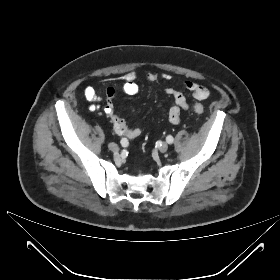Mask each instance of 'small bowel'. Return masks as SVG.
<instances>
[{
	"mask_svg": "<svg viewBox=\"0 0 280 280\" xmlns=\"http://www.w3.org/2000/svg\"><path fill=\"white\" fill-rule=\"evenodd\" d=\"M171 77L168 74H157V73H148L146 75V80L150 83L161 84L163 81L169 80ZM137 75L135 72H129L123 74L120 77L122 82V91L127 95H134L138 92L139 87L136 82ZM183 86L192 94L196 100H204L208 97V89L196 82L193 81H184ZM164 93L173 98L174 104L169 108L168 118L169 121L173 124H177L180 121L181 111L187 112L190 108V105L186 97L178 90L173 89L172 87H165ZM84 97L89 102L94 104L100 102L102 98L97 94L96 90L92 86L85 87L83 91ZM116 95V89L114 87H108L105 93V104L101 107L102 111L109 117L112 122L115 132L125 138L133 139L138 137L141 134V129L129 127L122 117L115 113L113 107V99ZM92 110L99 109L98 106L93 105Z\"/></svg>",
	"mask_w": 280,
	"mask_h": 280,
	"instance_id": "obj_1",
	"label": "small bowel"
}]
</instances>
